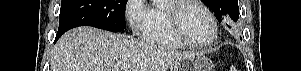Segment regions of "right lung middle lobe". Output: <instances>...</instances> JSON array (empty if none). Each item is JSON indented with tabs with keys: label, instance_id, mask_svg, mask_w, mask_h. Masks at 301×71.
Instances as JSON below:
<instances>
[{
	"label": "right lung middle lobe",
	"instance_id": "dd1d6c3e",
	"mask_svg": "<svg viewBox=\"0 0 301 71\" xmlns=\"http://www.w3.org/2000/svg\"><path fill=\"white\" fill-rule=\"evenodd\" d=\"M128 0H62L59 29L65 33L78 26L120 32L126 29L125 6Z\"/></svg>",
	"mask_w": 301,
	"mask_h": 71
}]
</instances>
